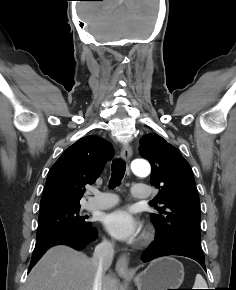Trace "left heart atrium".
<instances>
[{
    "label": "left heart atrium",
    "mask_w": 236,
    "mask_h": 290,
    "mask_svg": "<svg viewBox=\"0 0 236 290\" xmlns=\"http://www.w3.org/2000/svg\"><path fill=\"white\" fill-rule=\"evenodd\" d=\"M105 229L115 238L123 241L133 240L138 233V223L124 208L116 209L104 218Z\"/></svg>",
    "instance_id": "1"
}]
</instances>
